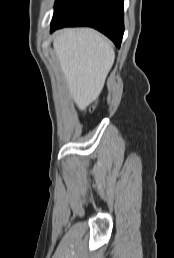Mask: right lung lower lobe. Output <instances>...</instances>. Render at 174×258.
<instances>
[{
	"mask_svg": "<svg viewBox=\"0 0 174 258\" xmlns=\"http://www.w3.org/2000/svg\"><path fill=\"white\" fill-rule=\"evenodd\" d=\"M67 26L93 27L119 48L124 33L123 0H68L53 15L51 32Z\"/></svg>",
	"mask_w": 174,
	"mask_h": 258,
	"instance_id": "1",
	"label": "right lung lower lobe"
}]
</instances>
